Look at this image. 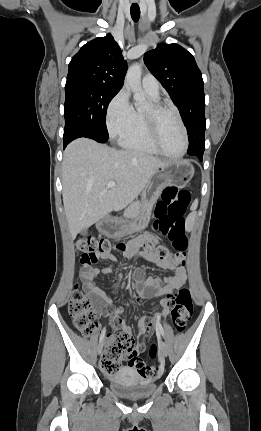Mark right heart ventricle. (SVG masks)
<instances>
[{
    "mask_svg": "<svg viewBox=\"0 0 261 431\" xmlns=\"http://www.w3.org/2000/svg\"><path fill=\"white\" fill-rule=\"evenodd\" d=\"M150 96L154 101H157L158 96L152 94H150ZM119 144L123 148L131 151L150 155H160V152L153 145L148 135L143 112L139 110H134V116L131 125L119 137Z\"/></svg>",
    "mask_w": 261,
    "mask_h": 431,
    "instance_id": "e07e8e85",
    "label": "right heart ventricle"
}]
</instances>
